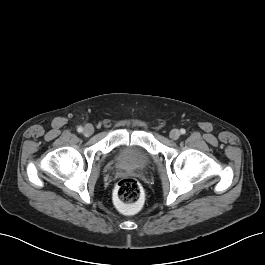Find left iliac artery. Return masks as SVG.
<instances>
[{"label":"left iliac artery","mask_w":265,"mask_h":265,"mask_svg":"<svg viewBox=\"0 0 265 265\" xmlns=\"http://www.w3.org/2000/svg\"><path fill=\"white\" fill-rule=\"evenodd\" d=\"M180 132H181V134H185V133H186V130L182 128V129L180 130Z\"/></svg>","instance_id":"obj_1"}]
</instances>
